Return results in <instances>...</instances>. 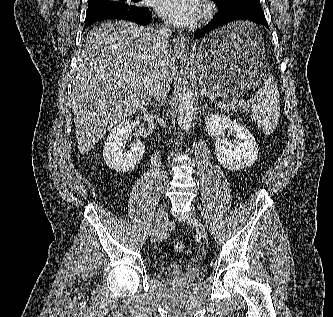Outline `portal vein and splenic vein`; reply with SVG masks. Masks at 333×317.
Listing matches in <instances>:
<instances>
[{
    "label": "portal vein and splenic vein",
    "instance_id": "18ae733b",
    "mask_svg": "<svg viewBox=\"0 0 333 317\" xmlns=\"http://www.w3.org/2000/svg\"><path fill=\"white\" fill-rule=\"evenodd\" d=\"M238 104H240V105H245L246 104V101L245 100H240L239 102H238ZM253 106V105H252Z\"/></svg>",
    "mask_w": 333,
    "mask_h": 317
}]
</instances>
